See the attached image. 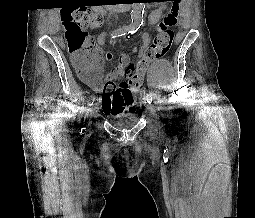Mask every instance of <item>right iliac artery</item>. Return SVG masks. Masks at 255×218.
<instances>
[{
  "label": "right iliac artery",
  "mask_w": 255,
  "mask_h": 218,
  "mask_svg": "<svg viewBox=\"0 0 255 218\" xmlns=\"http://www.w3.org/2000/svg\"><path fill=\"white\" fill-rule=\"evenodd\" d=\"M127 33H131V30L127 29V28H123V29H118L116 31H114L112 34H111V38H117L119 36H123ZM94 101V96L92 95L89 100H88V105H91Z\"/></svg>",
  "instance_id": "1"
}]
</instances>
